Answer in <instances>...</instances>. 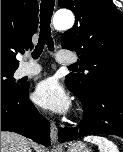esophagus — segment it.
Returning a JSON list of instances; mask_svg holds the SVG:
<instances>
[{"label":"esophagus","instance_id":"1","mask_svg":"<svg viewBox=\"0 0 123 152\" xmlns=\"http://www.w3.org/2000/svg\"><path fill=\"white\" fill-rule=\"evenodd\" d=\"M50 138L52 145H57L58 131L56 124L52 121L50 124Z\"/></svg>","mask_w":123,"mask_h":152}]
</instances>
